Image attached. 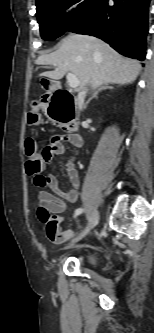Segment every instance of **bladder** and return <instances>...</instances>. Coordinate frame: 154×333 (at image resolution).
<instances>
[{
	"label": "bladder",
	"instance_id": "1",
	"mask_svg": "<svg viewBox=\"0 0 154 333\" xmlns=\"http://www.w3.org/2000/svg\"><path fill=\"white\" fill-rule=\"evenodd\" d=\"M96 254L94 251L92 250H89L87 253H86V258L87 260H89L90 262L94 260Z\"/></svg>",
	"mask_w": 154,
	"mask_h": 333
}]
</instances>
